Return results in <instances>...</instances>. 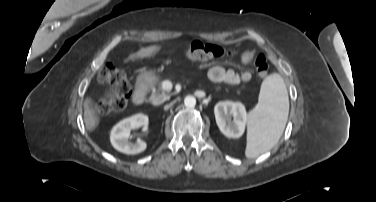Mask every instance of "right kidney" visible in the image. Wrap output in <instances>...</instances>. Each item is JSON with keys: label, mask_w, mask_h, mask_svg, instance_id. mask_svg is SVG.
<instances>
[{"label": "right kidney", "mask_w": 376, "mask_h": 202, "mask_svg": "<svg viewBox=\"0 0 376 202\" xmlns=\"http://www.w3.org/2000/svg\"><path fill=\"white\" fill-rule=\"evenodd\" d=\"M148 116L142 113L135 114L118 122L111 130L110 141L112 146L125 154H138L147 148L146 142L138 140L132 143L128 140L130 131L145 126Z\"/></svg>", "instance_id": "ca27d5eb"}]
</instances>
